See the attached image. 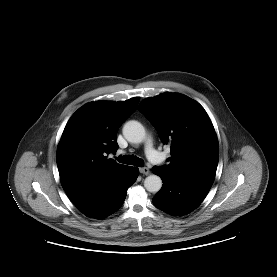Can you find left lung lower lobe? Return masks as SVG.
<instances>
[{
	"label": "left lung lower lobe",
	"mask_w": 277,
	"mask_h": 277,
	"mask_svg": "<svg viewBox=\"0 0 277 277\" xmlns=\"http://www.w3.org/2000/svg\"><path fill=\"white\" fill-rule=\"evenodd\" d=\"M152 171L164 183L153 198V203L171 215L181 216L194 210L204 200L213 184L209 180L179 177L157 166Z\"/></svg>",
	"instance_id": "1"
}]
</instances>
